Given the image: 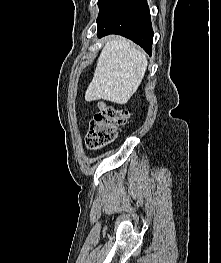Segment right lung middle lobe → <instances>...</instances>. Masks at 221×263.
Returning a JSON list of instances; mask_svg holds the SVG:
<instances>
[{
	"label": "right lung middle lobe",
	"mask_w": 221,
	"mask_h": 263,
	"mask_svg": "<svg viewBox=\"0 0 221 263\" xmlns=\"http://www.w3.org/2000/svg\"><path fill=\"white\" fill-rule=\"evenodd\" d=\"M113 0H99L98 5L101 13Z\"/></svg>",
	"instance_id": "1"
}]
</instances>
